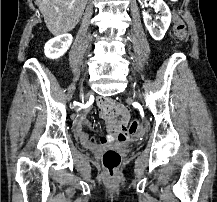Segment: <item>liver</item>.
I'll return each instance as SVG.
<instances>
[{
  "instance_id": "obj_1",
  "label": "liver",
  "mask_w": 217,
  "mask_h": 202,
  "mask_svg": "<svg viewBox=\"0 0 217 202\" xmlns=\"http://www.w3.org/2000/svg\"><path fill=\"white\" fill-rule=\"evenodd\" d=\"M88 0H35L53 36H62L77 26Z\"/></svg>"
}]
</instances>
